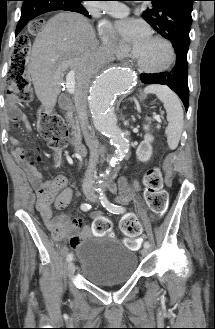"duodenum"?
Wrapping results in <instances>:
<instances>
[{
    "instance_id": "obj_1",
    "label": "duodenum",
    "mask_w": 215,
    "mask_h": 329,
    "mask_svg": "<svg viewBox=\"0 0 215 329\" xmlns=\"http://www.w3.org/2000/svg\"><path fill=\"white\" fill-rule=\"evenodd\" d=\"M59 105L63 111V113L69 118L72 113V99L69 95L67 94H61L60 100H59ZM72 149L75 152L76 155L78 156H84L86 154V148L85 146L81 143L79 137L77 134H73L72 136Z\"/></svg>"
}]
</instances>
